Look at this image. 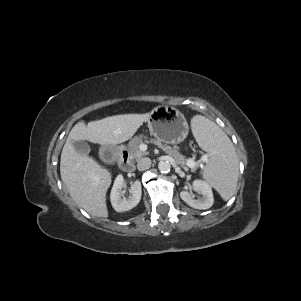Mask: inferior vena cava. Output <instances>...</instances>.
I'll list each match as a JSON object with an SVG mask.
<instances>
[{"label": "inferior vena cava", "mask_w": 301, "mask_h": 301, "mask_svg": "<svg viewBox=\"0 0 301 301\" xmlns=\"http://www.w3.org/2000/svg\"><path fill=\"white\" fill-rule=\"evenodd\" d=\"M150 166H151V159L150 158H142L137 163V169L139 171L147 170V169L150 168Z\"/></svg>", "instance_id": "inferior-vena-cava-1"}]
</instances>
